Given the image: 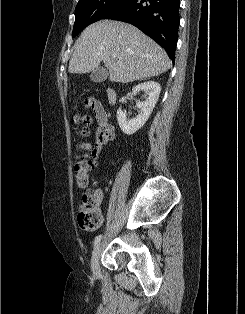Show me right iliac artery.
<instances>
[{
	"instance_id": "82829eb1",
	"label": "right iliac artery",
	"mask_w": 245,
	"mask_h": 314,
	"mask_svg": "<svg viewBox=\"0 0 245 314\" xmlns=\"http://www.w3.org/2000/svg\"><path fill=\"white\" fill-rule=\"evenodd\" d=\"M101 238H102V235H101V234L98 235V236H96V237H95V240H94V245H96L97 243H99V241L101 240Z\"/></svg>"
}]
</instances>
